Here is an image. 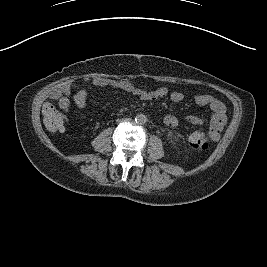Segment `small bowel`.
Here are the masks:
<instances>
[{"instance_id":"small-bowel-1","label":"small bowel","mask_w":267,"mask_h":267,"mask_svg":"<svg viewBox=\"0 0 267 267\" xmlns=\"http://www.w3.org/2000/svg\"><path fill=\"white\" fill-rule=\"evenodd\" d=\"M95 85H105L113 88L124 89L133 95L137 96L143 101H155L159 99L169 98L174 103H180L185 99V96L180 91L169 92L165 87H158L152 91L137 87L133 84L126 82H114V81H100L98 79L93 81ZM73 85H67L61 92L57 94V100L60 106L64 110H68L70 107L71 99L76 107L81 111L86 107L89 93L86 89L82 88L73 93L70 97ZM194 102L198 106L208 107L211 113L209 119H205L196 115H189L185 118L186 122L191 125H202L207 123L209 127L208 139L212 142L218 141L221 137L222 130L226 124V108L224 104L218 99L208 94H197L194 97ZM164 123L168 127L174 128L178 125L179 121L174 115H167L164 118ZM194 132L193 134L199 133Z\"/></svg>"}]
</instances>
